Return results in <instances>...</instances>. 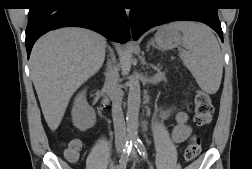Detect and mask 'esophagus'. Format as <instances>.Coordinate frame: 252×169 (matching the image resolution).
<instances>
[{
    "label": "esophagus",
    "instance_id": "1",
    "mask_svg": "<svg viewBox=\"0 0 252 169\" xmlns=\"http://www.w3.org/2000/svg\"><path fill=\"white\" fill-rule=\"evenodd\" d=\"M126 12H127V14H129V10H127Z\"/></svg>",
    "mask_w": 252,
    "mask_h": 169
}]
</instances>
